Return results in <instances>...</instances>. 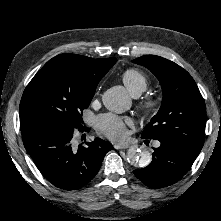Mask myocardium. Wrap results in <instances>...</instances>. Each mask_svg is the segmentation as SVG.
<instances>
[{
	"instance_id": "myocardium-1",
	"label": "myocardium",
	"mask_w": 221,
	"mask_h": 221,
	"mask_svg": "<svg viewBox=\"0 0 221 221\" xmlns=\"http://www.w3.org/2000/svg\"><path fill=\"white\" fill-rule=\"evenodd\" d=\"M158 107V100L154 97H148L143 102V109L146 113H153Z\"/></svg>"
}]
</instances>
